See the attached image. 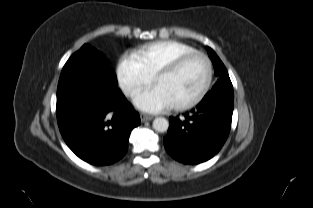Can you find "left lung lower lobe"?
Masks as SVG:
<instances>
[{
  "label": "left lung lower lobe",
  "mask_w": 313,
  "mask_h": 208,
  "mask_svg": "<svg viewBox=\"0 0 313 208\" xmlns=\"http://www.w3.org/2000/svg\"><path fill=\"white\" fill-rule=\"evenodd\" d=\"M234 107L232 88L209 91L184 117H170L163 142L166 151L184 164H199L216 155L231 127Z\"/></svg>",
  "instance_id": "obj_1"
}]
</instances>
